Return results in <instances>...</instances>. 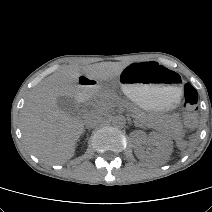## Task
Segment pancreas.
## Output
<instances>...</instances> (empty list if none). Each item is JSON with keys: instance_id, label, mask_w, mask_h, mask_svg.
Returning <instances> with one entry per match:
<instances>
[{"instance_id": "obj_1", "label": "pancreas", "mask_w": 212, "mask_h": 212, "mask_svg": "<svg viewBox=\"0 0 212 212\" xmlns=\"http://www.w3.org/2000/svg\"><path fill=\"white\" fill-rule=\"evenodd\" d=\"M98 104L99 106L103 108H111L114 107L115 105L119 104L118 98L111 94V93H102L98 96ZM130 109L132 112L135 113L136 119L141 122V123H146L148 125H152L155 121L149 117L147 114L144 112L140 111L136 107L129 105Z\"/></svg>"}]
</instances>
